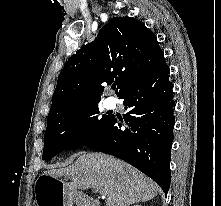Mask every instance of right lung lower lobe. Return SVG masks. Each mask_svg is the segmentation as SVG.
<instances>
[{
	"label": "right lung lower lobe",
	"instance_id": "obj_1",
	"mask_svg": "<svg viewBox=\"0 0 221 206\" xmlns=\"http://www.w3.org/2000/svg\"><path fill=\"white\" fill-rule=\"evenodd\" d=\"M172 83L164 62L131 85L119 98L128 113L110 121L84 146L116 156L152 178L167 194L173 142ZM122 126H126L121 130Z\"/></svg>",
	"mask_w": 221,
	"mask_h": 206
}]
</instances>
